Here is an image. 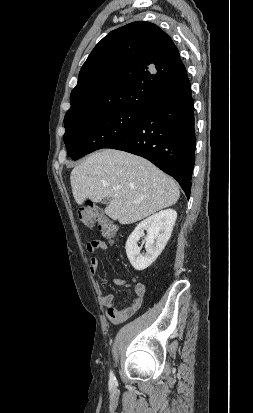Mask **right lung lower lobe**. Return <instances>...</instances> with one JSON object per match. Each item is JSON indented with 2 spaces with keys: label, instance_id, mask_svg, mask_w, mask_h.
Segmentation results:
<instances>
[{
  "label": "right lung lower lobe",
  "instance_id": "obj_1",
  "mask_svg": "<svg viewBox=\"0 0 253 413\" xmlns=\"http://www.w3.org/2000/svg\"><path fill=\"white\" fill-rule=\"evenodd\" d=\"M195 146L194 101L189 86L180 94L147 107L138 125L106 148L148 159L174 177L189 198Z\"/></svg>",
  "mask_w": 253,
  "mask_h": 413
}]
</instances>
